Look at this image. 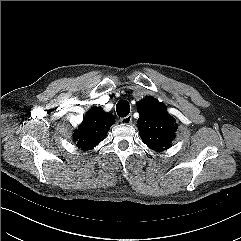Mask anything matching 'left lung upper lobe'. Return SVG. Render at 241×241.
<instances>
[{"mask_svg": "<svg viewBox=\"0 0 241 241\" xmlns=\"http://www.w3.org/2000/svg\"><path fill=\"white\" fill-rule=\"evenodd\" d=\"M137 108L140 114L137 124L142 141L156 151L167 149L175 138L177 125L166 112V106L148 96L137 103Z\"/></svg>", "mask_w": 241, "mask_h": 241, "instance_id": "5c2ea615", "label": "left lung upper lobe"}]
</instances>
